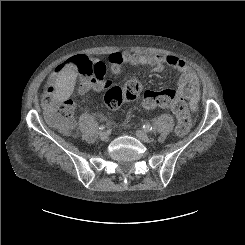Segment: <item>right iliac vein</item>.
I'll list each match as a JSON object with an SVG mask.
<instances>
[{
	"mask_svg": "<svg viewBox=\"0 0 245 245\" xmlns=\"http://www.w3.org/2000/svg\"><path fill=\"white\" fill-rule=\"evenodd\" d=\"M108 133L107 132H105V131H103V132H101L100 134H99V138L101 139V140H103V141H105V140H107L108 139Z\"/></svg>",
	"mask_w": 245,
	"mask_h": 245,
	"instance_id": "1",
	"label": "right iliac vein"
}]
</instances>
